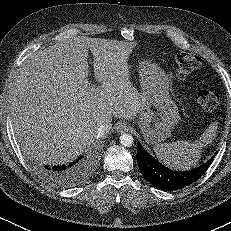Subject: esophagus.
<instances>
[{"mask_svg":"<svg viewBox=\"0 0 231 231\" xmlns=\"http://www.w3.org/2000/svg\"><path fill=\"white\" fill-rule=\"evenodd\" d=\"M116 130L119 133H123V132H126V131L129 130V126L124 122H120V123L117 124Z\"/></svg>","mask_w":231,"mask_h":231,"instance_id":"1","label":"esophagus"}]
</instances>
